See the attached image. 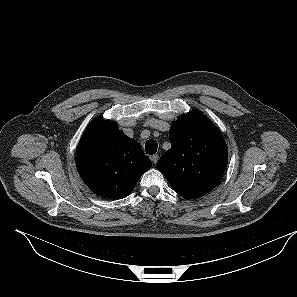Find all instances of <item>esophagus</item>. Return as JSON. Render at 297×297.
Segmentation results:
<instances>
[{
  "label": "esophagus",
  "instance_id": "1",
  "mask_svg": "<svg viewBox=\"0 0 297 297\" xmlns=\"http://www.w3.org/2000/svg\"><path fill=\"white\" fill-rule=\"evenodd\" d=\"M158 159H159V155H158V154H154V155L151 156V161H152L154 164L157 163Z\"/></svg>",
  "mask_w": 297,
  "mask_h": 297
}]
</instances>
